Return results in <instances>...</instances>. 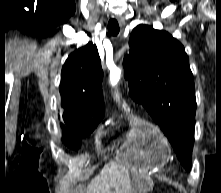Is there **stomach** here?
<instances>
[{
	"label": "stomach",
	"instance_id": "0dacf381",
	"mask_svg": "<svg viewBox=\"0 0 221 193\" xmlns=\"http://www.w3.org/2000/svg\"><path fill=\"white\" fill-rule=\"evenodd\" d=\"M117 102V107H121V112H128V107H124V102ZM128 123L133 127L129 138L132 142H127L124 154L118 159L121 167H131L132 177H135L134 186L128 193H147L150 186L149 172L152 167H165L166 159H169L168 142H164V137H160V130L150 122L140 120V115H134L131 111L127 113Z\"/></svg>",
	"mask_w": 221,
	"mask_h": 193
}]
</instances>
